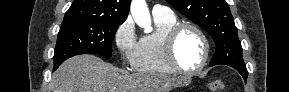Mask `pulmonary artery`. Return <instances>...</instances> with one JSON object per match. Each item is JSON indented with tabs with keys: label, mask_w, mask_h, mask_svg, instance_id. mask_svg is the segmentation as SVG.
I'll return each mask as SVG.
<instances>
[{
	"label": "pulmonary artery",
	"mask_w": 289,
	"mask_h": 92,
	"mask_svg": "<svg viewBox=\"0 0 289 92\" xmlns=\"http://www.w3.org/2000/svg\"><path fill=\"white\" fill-rule=\"evenodd\" d=\"M152 13L156 15H162V14H170L172 11L163 5H155L152 9Z\"/></svg>",
	"instance_id": "1"
}]
</instances>
